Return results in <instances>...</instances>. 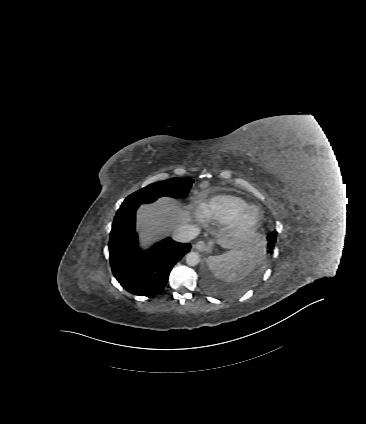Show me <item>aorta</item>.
Instances as JSON below:
<instances>
[{
    "label": "aorta",
    "mask_w": 366,
    "mask_h": 424,
    "mask_svg": "<svg viewBox=\"0 0 366 424\" xmlns=\"http://www.w3.org/2000/svg\"><path fill=\"white\" fill-rule=\"evenodd\" d=\"M199 262H200V256L198 253L191 251L186 255V263L189 266H196L199 264Z\"/></svg>",
    "instance_id": "aorta-1"
}]
</instances>
